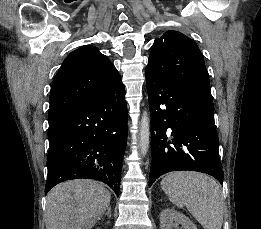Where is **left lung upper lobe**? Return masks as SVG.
I'll use <instances>...</instances> for the list:
<instances>
[{
    "instance_id": "1",
    "label": "left lung upper lobe",
    "mask_w": 261,
    "mask_h": 229,
    "mask_svg": "<svg viewBox=\"0 0 261 229\" xmlns=\"http://www.w3.org/2000/svg\"><path fill=\"white\" fill-rule=\"evenodd\" d=\"M146 71L210 88L209 75L197 44L177 31H167L154 41Z\"/></svg>"
}]
</instances>
